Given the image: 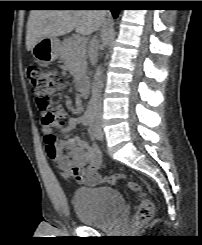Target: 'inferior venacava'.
Returning <instances> with one entry per match:
<instances>
[{"label":"inferior vena cava","instance_id":"602c4592","mask_svg":"<svg viewBox=\"0 0 202 245\" xmlns=\"http://www.w3.org/2000/svg\"><path fill=\"white\" fill-rule=\"evenodd\" d=\"M95 42V38H93L92 42L91 43H94ZM97 58H98V52L95 48H90L89 50V59H90V62L92 65H95L96 62H97ZM90 106L92 108V110L94 112L100 110L101 108V105H100V102L98 100V95L95 94L94 92L92 93V97L90 99Z\"/></svg>","mask_w":202,"mask_h":245}]
</instances>
